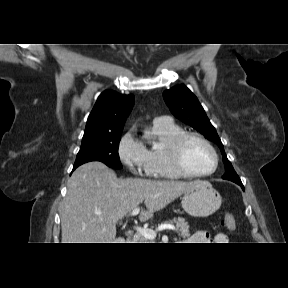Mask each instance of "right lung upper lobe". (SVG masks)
<instances>
[{"instance_id":"1","label":"right lung upper lobe","mask_w":288,"mask_h":288,"mask_svg":"<svg viewBox=\"0 0 288 288\" xmlns=\"http://www.w3.org/2000/svg\"><path fill=\"white\" fill-rule=\"evenodd\" d=\"M133 104V95L112 90L101 93L88 117L82 141L122 132Z\"/></svg>"}]
</instances>
